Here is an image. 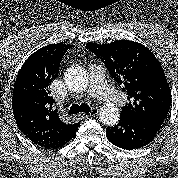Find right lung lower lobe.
I'll list each match as a JSON object with an SVG mask.
<instances>
[{"instance_id": "right-lung-lower-lobe-1", "label": "right lung lower lobe", "mask_w": 178, "mask_h": 178, "mask_svg": "<svg viewBox=\"0 0 178 178\" xmlns=\"http://www.w3.org/2000/svg\"><path fill=\"white\" fill-rule=\"evenodd\" d=\"M75 135H76V133H75L73 136H71L69 139H67V140H65L63 143H61V144H60L57 148H55V149H58V148L62 147L65 143L69 142Z\"/></svg>"}]
</instances>
